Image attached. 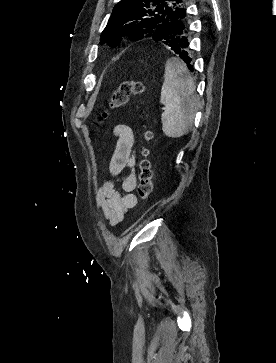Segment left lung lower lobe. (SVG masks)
Instances as JSON below:
<instances>
[{
  "instance_id": "1",
  "label": "left lung lower lobe",
  "mask_w": 276,
  "mask_h": 363,
  "mask_svg": "<svg viewBox=\"0 0 276 363\" xmlns=\"http://www.w3.org/2000/svg\"><path fill=\"white\" fill-rule=\"evenodd\" d=\"M176 31H178V36L169 39L168 46L179 55L180 58L184 60L187 64L190 71H193V67L191 64V52L189 48V25L187 21H183L179 26L177 25ZM188 33V37L182 36L183 34Z\"/></svg>"
}]
</instances>
